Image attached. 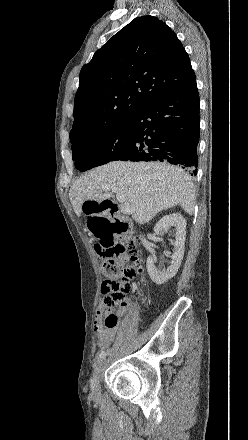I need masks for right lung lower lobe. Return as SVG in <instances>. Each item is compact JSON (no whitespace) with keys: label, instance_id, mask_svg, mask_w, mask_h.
Returning a JSON list of instances; mask_svg holds the SVG:
<instances>
[{"label":"right lung lower lobe","instance_id":"1","mask_svg":"<svg viewBox=\"0 0 248 440\" xmlns=\"http://www.w3.org/2000/svg\"><path fill=\"white\" fill-rule=\"evenodd\" d=\"M199 94L196 82L160 96L130 119L133 127L122 161H168L197 173Z\"/></svg>","mask_w":248,"mask_h":440}]
</instances>
